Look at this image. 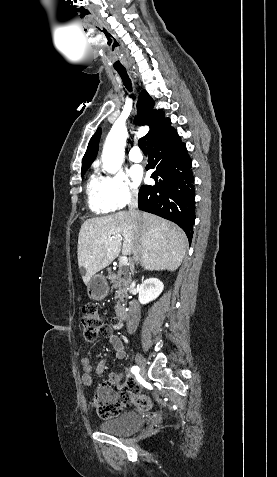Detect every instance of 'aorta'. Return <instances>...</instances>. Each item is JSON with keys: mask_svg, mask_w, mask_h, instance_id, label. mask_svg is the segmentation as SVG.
I'll list each match as a JSON object with an SVG mask.
<instances>
[{"mask_svg": "<svg viewBox=\"0 0 277 477\" xmlns=\"http://www.w3.org/2000/svg\"><path fill=\"white\" fill-rule=\"evenodd\" d=\"M127 134V128L124 124L115 123L112 126L102 152L105 171L114 174L120 170L123 163Z\"/></svg>", "mask_w": 277, "mask_h": 477, "instance_id": "obj_1", "label": "aorta"}]
</instances>
